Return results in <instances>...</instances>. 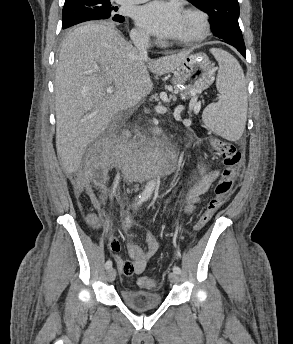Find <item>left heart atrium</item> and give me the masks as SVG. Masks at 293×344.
Here are the masks:
<instances>
[{"label":"left heart atrium","mask_w":293,"mask_h":344,"mask_svg":"<svg viewBox=\"0 0 293 344\" xmlns=\"http://www.w3.org/2000/svg\"><path fill=\"white\" fill-rule=\"evenodd\" d=\"M183 15L177 4L153 1L137 9V25L159 38H173L182 25Z\"/></svg>","instance_id":"1"}]
</instances>
